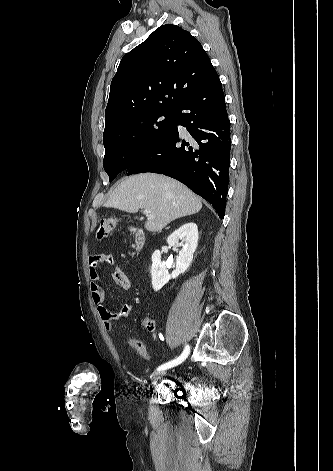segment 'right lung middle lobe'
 Segmentation results:
<instances>
[{"mask_svg": "<svg viewBox=\"0 0 333 471\" xmlns=\"http://www.w3.org/2000/svg\"><path fill=\"white\" fill-rule=\"evenodd\" d=\"M174 112L147 110L112 123L104 130V169L109 181L131 167L173 125Z\"/></svg>", "mask_w": 333, "mask_h": 471, "instance_id": "dd1d6c3e", "label": "right lung middle lobe"}]
</instances>
